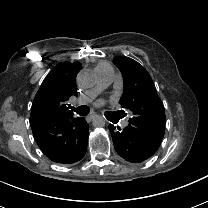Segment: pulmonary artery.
<instances>
[{
	"instance_id": "pulmonary-artery-1",
	"label": "pulmonary artery",
	"mask_w": 208,
	"mask_h": 208,
	"mask_svg": "<svg viewBox=\"0 0 208 208\" xmlns=\"http://www.w3.org/2000/svg\"><path fill=\"white\" fill-rule=\"evenodd\" d=\"M99 78H100V83L98 86V89H102L106 87L113 79L114 76V69L112 66H108L106 69L98 73ZM90 99L87 96H84L81 98L76 99L75 104L78 107H81L84 105L89 104ZM120 117V116H119Z\"/></svg>"
}]
</instances>
